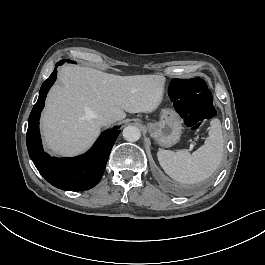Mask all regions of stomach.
<instances>
[{"label":"stomach","instance_id":"obj_1","mask_svg":"<svg viewBox=\"0 0 265 265\" xmlns=\"http://www.w3.org/2000/svg\"><path fill=\"white\" fill-rule=\"evenodd\" d=\"M147 129L150 136L161 147H171L181 136L182 124L178 113L173 109H162L160 121L149 123Z\"/></svg>","mask_w":265,"mask_h":265}]
</instances>
